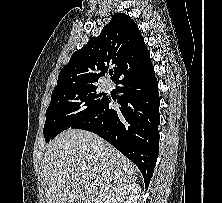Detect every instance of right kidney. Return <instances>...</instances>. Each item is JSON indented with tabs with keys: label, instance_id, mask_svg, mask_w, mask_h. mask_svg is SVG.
Instances as JSON below:
<instances>
[{
	"label": "right kidney",
	"instance_id": "obj_1",
	"mask_svg": "<svg viewBox=\"0 0 222 203\" xmlns=\"http://www.w3.org/2000/svg\"><path fill=\"white\" fill-rule=\"evenodd\" d=\"M141 188L136 183L124 185L105 203H137L140 197Z\"/></svg>",
	"mask_w": 222,
	"mask_h": 203
}]
</instances>
